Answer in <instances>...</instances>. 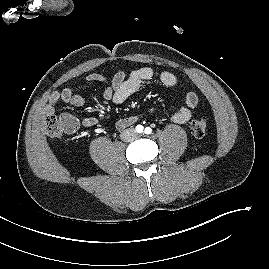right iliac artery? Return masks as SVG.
<instances>
[{"instance_id":"obj_1","label":"right iliac artery","mask_w":269,"mask_h":269,"mask_svg":"<svg viewBox=\"0 0 269 269\" xmlns=\"http://www.w3.org/2000/svg\"><path fill=\"white\" fill-rule=\"evenodd\" d=\"M136 131H137L138 133H142V132H143V126H142V125H137V126H136Z\"/></svg>"}]
</instances>
